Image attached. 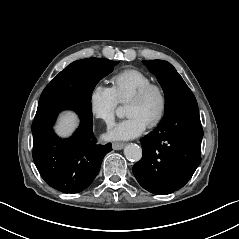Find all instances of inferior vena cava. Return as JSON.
Segmentation results:
<instances>
[{"label":"inferior vena cava","mask_w":239,"mask_h":239,"mask_svg":"<svg viewBox=\"0 0 239 239\" xmlns=\"http://www.w3.org/2000/svg\"><path fill=\"white\" fill-rule=\"evenodd\" d=\"M114 126L113 123H108V129H111Z\"/></svg>","instance_id":"1"}]
</instances>
